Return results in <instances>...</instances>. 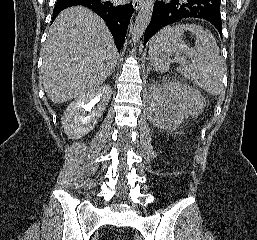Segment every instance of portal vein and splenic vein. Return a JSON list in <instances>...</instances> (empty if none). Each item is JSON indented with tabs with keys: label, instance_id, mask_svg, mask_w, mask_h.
<instances>
[{
	"label": "portal vein and splenic vein",
	"instance_id": "portal-vein-and-splenic-vein-1",
	"mask_svg": "<svg viewBox=\"0 0 257 240\" xmlns=\"http://www.w3.org/2000/svg\"><path fill=\"white\" fill-rule=\"evenodd\" d=\"M176 60L179 61V62H184L185 61V59L183 57H177Z\"/></svg>",
	"mask_w": 257,
	"mask_h": 240
}]
</instances>
